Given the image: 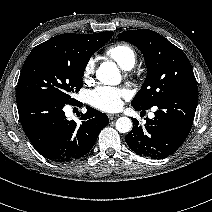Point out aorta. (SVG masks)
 <instances>
[{
	"mask_svg": "<svg viewBox=\"0 0 212 212\" xmlns=\"http://www.w3.org/2000/svg\"><path fill=\"white\" fill-rule=\"evenodd\" d=\"M97 79L103 84L118 83L121 80L117 67L113 63L105 62L96 71ZM116 129L120 133H128L132 129V121L128 117H120L116 121Z\"/></svg>",
	"mask_w": 212,
	"mask_h": 212,
	"instance_id": "obj_1",
	"label": "aorta"
}]
</instances>
